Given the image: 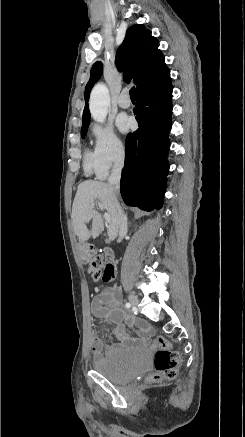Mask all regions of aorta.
I'll return each mask as SVG.
<instances>
[{"mask_svg": "<svg viewBox=\"0 0 245 437\" xmlns=\"http://www.w3.org/2000/svg\"><path fill=\"white\" fill-rule=\"evenodd\" d=\"M109 104L110 97L107 86L102 83L95 85L89 101L90 113L95 121L103 122L105 120Z\"/></svg>", "mask_w": 245, "mask_h": 437, "instance_id": "1", "label": "aorta"}]
</instances>
